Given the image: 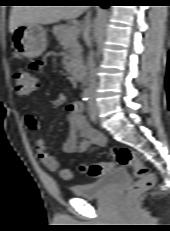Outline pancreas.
<instances>
[{
  "mask_svg": "<svg viewBox=\"0 0 170 231\" xmlns=\"http://www.w3.org/2000/svg\"><path fill=\"white\" fill-rule=\"evenodd\" d=\"M69 28L70 25L64 24L53 27V34L66 51L63 59V64L66 69H72L77 66L82 53V47L78 41V34L66 36V31Z\"/></svg>",
  "mask_w": 170,
  "mask_h": 231,
  "instance_id": "pancreas-1",
  "label": "pancreas"
}]
</instances>
